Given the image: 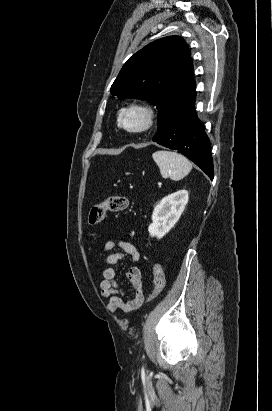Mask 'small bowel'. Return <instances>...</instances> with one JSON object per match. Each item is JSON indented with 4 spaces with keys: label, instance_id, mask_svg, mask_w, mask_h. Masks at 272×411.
<instances>
[{
    "label": "small bowel",
    "instance_id": "1",
    "mask_svg": "<svg viewBox=\"0 0 272 411\" xmlns=\"http://www.w3.org/2000/svg\"><path fill=\"white\" fill-rule=\"evenodd\" d=\"M103 250L108 253L105 258L107 267L103 270L102 280L100 282V292L102 297L108 300L106 308L109 311H132L140 305L136 304L137 299L143 298L142 272L137 266H132L126 271V277L135 290L134 298L124 301L125 291L122 290L117 281V270L122 262L124 255H129L132 261L137 262L140 259V253L136 247L127 241H107Z\"/></svg>",
    "mask_w": 272,
    "mask_h": 411
}]
</instances>
